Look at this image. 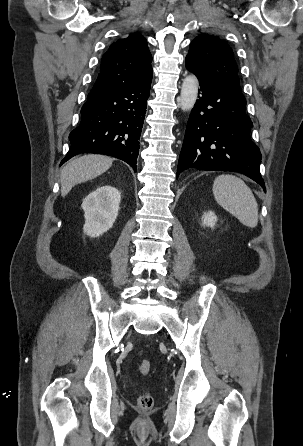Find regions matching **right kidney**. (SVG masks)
Returning a JSON list of instances; mask_svg holds the SVG:
<instances>
[{"instance_id": "right-kidney-1", "label": "right kidney", "mask_w": 303, "mask_h": 446, "mask_svg": "<svg viewBox=\"0 0 303 446\" xmlns=\"http://www.w3.org/2000/svg\"><path fill=\"white\" fill-rule=\"evenodd\" d=\"M121 194L118 189L109 185L100 186L82 203L85 224L84 233L91 237H99L112 228L119 211Z\"/></svg>"}]
</instances>
